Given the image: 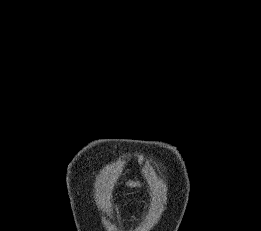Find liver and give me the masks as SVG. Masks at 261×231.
<instances>
[{
  "instance_id": "6515ba94",
  "label": "liver",
  "mask_w": 261,
  "mask_h": 231,
  "mask_svg": "<svg viewBox=\"0 0 261 231\" xmlns=\"http://www.w3.org/2000/svg\"><path fill=\"white\" fill-rule=\"evenodd\" d=\"M138 183H135V182H128L127 185L130 186V187H134L136 186Z\"/></svg>"
}]
</instances>
